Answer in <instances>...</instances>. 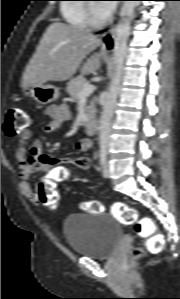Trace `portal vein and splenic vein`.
<instances>
[{
  "instance_id": "portal-vein-and-splenic-vein-1",
  "label": "portal vein and splenic vein",
  "mask_w": 180,
  "mask_h": 299,
  "mask_svg": "<svg viewBox=\"0 0 180 299\" xmlns=\"http://www.w3.org/2000/svg\"><path fill=\"white\" fill-rule=\"evenodd\" d=\"M95 91V86L86 84L84 85L83 89L79 92L78 97L83 98L91 95Z\"/></svg>"
}]
</instances>
